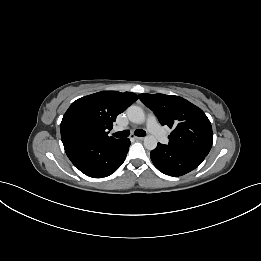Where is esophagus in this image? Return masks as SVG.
<instances>
[{"label":"esophagus","mask_w":261,"mask_h":261,"mask_svg":"<svg viewBox=\"0 0 261 261\" xmlns=\"http://www.w3.org/2000/svg\"><path fill=\"white\" fill-rule=\"evenodd\" d=\"M134 139H135L136 141H142L144 138H143V137L134 136Z\"/></svg>","instance_id":"34e87169"}]
</instances>
